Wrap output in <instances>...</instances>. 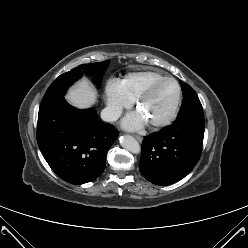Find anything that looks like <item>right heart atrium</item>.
Here are the masks:
<instances>
[{"label": "right heart atrium", "mask_w": 248, "mask_h": 248, "mask_svg": "<svg viewBox=\"0 0 248 248\" xmlns=\"http://www.w3.org/2000/svg\"><path fill=\"white\" fill-rule=\"evenodd\" d=\"M106 111L110 120H115L123 109L132 104V100L124 92L121 82L115 79L108 80L105 88Z\"/></svg>", "instance_id": "obj_1"}]
</instances>
